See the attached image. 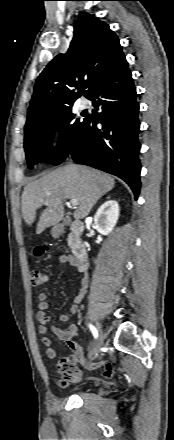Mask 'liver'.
Wrapping results in <instances>:
<instances>
[{"label": "liver", "mask_w": 174, "mask_h": 440, "mask_svg": "<svg viewBox=\"0 0 174 440\" xmlns=\"http://www.w3.org/2000/svg\"><path fill=\"white\" fill-rule=\"evenodd\" d=\"M114 185V178L106 173L86 166L67 164L25 186L22 194L23 219L31 226L37 209L45 205L46 209L37 224V233H41L62 220L63 202L66 199L78 201L73 217L76 220L83 219Z\"/></svg>", "instance_id": "6515ba94"}]
</instances>
